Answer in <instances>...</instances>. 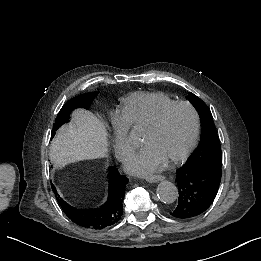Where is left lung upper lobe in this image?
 I'll list each match as a JSON object with an SVG mask.
<instances>
[{"instance_id":"5c2ea615","label":"left lung upper lobe","mask_w":261,"mask_h":261,"mask_svg":"<svg viewBox=\"0 0 261 261\" xmlns=\"http://www.w3.org/2000/svg\"><path fill=\"white\" fill-rule=\"evenodd\" d=\"M197 110L201 119L202 134L200 143L187 163L197 164L203 161H214L222 164L220 140L216 132L212 114L207 105L196 95L190 93L187 97Z\"/></svg>"}]
</instances>
